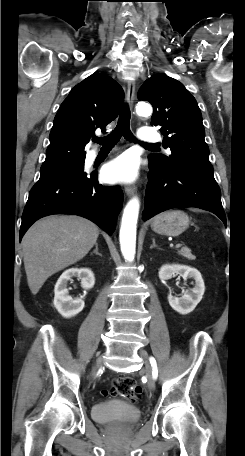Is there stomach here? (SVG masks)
I'll return each mask as SVG.
<instances>
[{
	"mask_svg": "<svg viewBox=\"0 0 245 456\" xmlns=\"http://www.w3.org/2000/svg\"><path fill=\"white\" fill-rule=\"evenodd\" d=\"M189 224L190 219L184 211L171 210L157 215L151 223V228L161 235L178 236L189 227Z\"/></svg>",
	"mask_w": 245,
	"mask_h": 456,
	"instance_id": "stomach-1",
	"label": "stomach"
}]
</instances>
